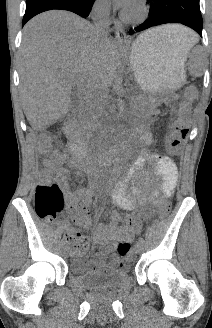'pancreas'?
I'll return each instance as SVG.
<instances>
[{
	"label": "pancreas",
	"instance_id": "obj_1",
	"mask_svg": "<svg viewBox=\"0 0 212 328\" xmlns=\"http://www.w3.org/2000/svg\"><path fill=\"white\" fill-rule=\"evenodd\" d=\"M151 106V101L145 96L135 97L132 107L136 112H144L145 109Z\"/></svg>",
	"mask_w": 212,
	"mask_h": 328
}]
</instances>
